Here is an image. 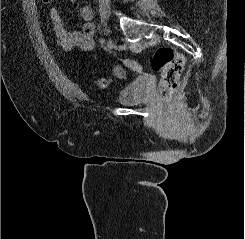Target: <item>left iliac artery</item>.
<instances>
[{"label": "left iliac artery", "mask_w": 245, "mask_h": 239, "mask_svg": "<svg viewBox=\"0 0 245 239\" xmlns=\"http://www.w3.org/2000/svg\"><path fill=\"white\" fill-rule=\"evenodd\" d=\"M99 42L102 46H104L105 40L102 37L99 39Z\"/></svg>", "instance_id": "left-iliac-artery-1"}]
</instances>
